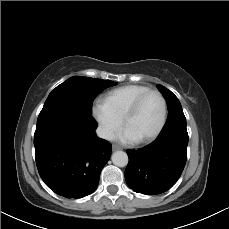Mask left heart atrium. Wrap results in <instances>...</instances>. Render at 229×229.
Wrapping results in <instances>:
<instances>
[{
  "instance_id": "39dd6f15",
  "label": "left heart atrium",
  "mask_w": 229,
  "mask_h": 229,
  "mask_svg": "<svg viewBox=\"0 0 229 229\" xmlns=\"http://www.w3.org/2000/svg\"><path fill=\"white\" fill-rule=\"evenodd\" d=\"M119 139L123 142V143H127V144H131L133 142H135L137 139L132 138L129 136V134L123 130L120 134H119Z\"/></svg>"
}]
</instances>
